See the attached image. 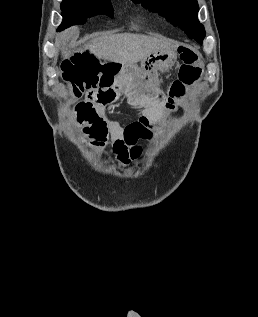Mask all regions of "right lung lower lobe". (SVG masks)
<instances>
[{
  "label": "right lung lower lobe",
  "mask_w": 258,
  "mask_h": 317,
  "mask_svg": "<svg viewBox=\"0 0 258 317\" xmlns=\"http://www.w3.org/2000/svg\"><path fill=\"white\" fill-rule=\"evenodd\" d=\"M63 23L59 27V31L73 24L85 23L89 17L82 15L77 11L62 10Z\"/></svg>",
  "instance_id": "right-lung-lower-lobe-1"
}]
</instances>
